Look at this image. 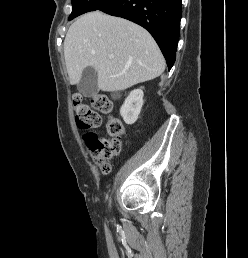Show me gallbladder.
<instances>
[{
    "label": "gallbladder",
    "instance_id": "bac80fb5",
    "mask_svg": "<svg viewBox=\"0 0 248 258\" xmlns=\"http://www.w3.org/2000/svg\"><path fill=\"white\" fill-rule=\"evenodd\" d=\"M98 74L93 67H86L78 84L79 92L85 97L93 96L97 91Z\"/></svg>",
    "mask_w": 248,
    "mask_h": 258
}]
</instances>
